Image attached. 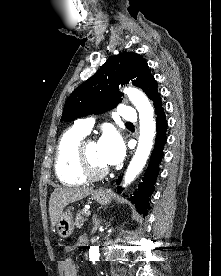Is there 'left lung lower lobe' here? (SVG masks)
Masks as SVG:
<instances>
[{
    "label": "left lung lower lobe",
    "mask_w": 221,
    "mask_h": 276,
    "mask_svg": "<svg viewBox=\"0 0 221 276\" xmlns=\"http://www.w3.org/2000/svg\"><path fill=\"white\" fill-rule=\"evenodd\" d=\"M152 101L156 114L157 135L155 138V145L142 181L139 183L138 188L133 195L129 198V200L135 204L137 211L143 215H147L150 196L153 194L155 188L154 185L159 173V163L162 160L163 147L166 143L167 120L160 94L156 95ZM121 179L122 177L120 176L117 180V184H120ZM117 190L120 193L122 188L117 187Z\"/></svg>",
    "instance_id": "1"
}]
</instances>
